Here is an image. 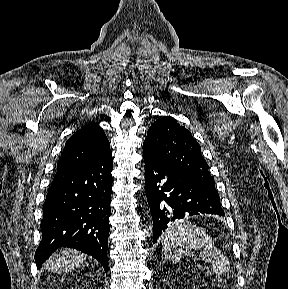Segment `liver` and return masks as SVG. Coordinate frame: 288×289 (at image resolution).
I'll return each instance as SVG.
<instances>
[{
    "label": "liver",
    "mask_w": 288,
    "mask_h": 289,
    "mask_svg": "<svg viewBox=\"0 0 288 289\" xmlns=\"http://www.w3.org/2000/svg\"><path fill=\"white\" fill-rule=\"evenodd\" d=\"M86 255L73 249L56 252L46 263V270L53 273L69 272L81 265Z\"/></svg>",
    "instance_id": "1"
}]
</instances>
